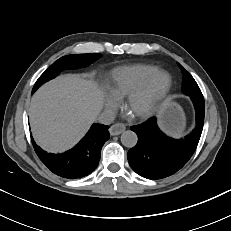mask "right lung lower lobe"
Instances as JSON below:
<instances>
[{"mask_svg": "<svg viewBox=\"0 0 231 231\" xmlns=\"http://www.w3.org/2000/svg\"><path fill=\"white\" fill-rule=\"evenodd\" d=\"M108 126L93 124L86 136L71 150L62 154H51L43 151L32 140L40 160L56 175L77 179L89 175L97 166L101 149L109 139Z\"/></svg>", "mask_w": 231, "mask_h": 231, "instance_id": "1", "label": "right lung lower lobe"}]
</instances>
